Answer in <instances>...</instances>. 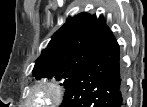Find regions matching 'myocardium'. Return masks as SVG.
I'll return each mask as SVG.
<instances>
[{"label":"myocardium","mask_w":147,"mask_h":107,"mask_svg":"<svg viewBox=\"0 0 147 107\" xmlns=\"http://www.w3.org/2000/svg\"><path fill=\"white\" fill-rule=\"evenodd\" d=\"M63 97V88L55 80H42L33 85L28 94V102L44 107L54 106Z\"/></svg>","instance_id":"myocardium-1"}]
</instances>
